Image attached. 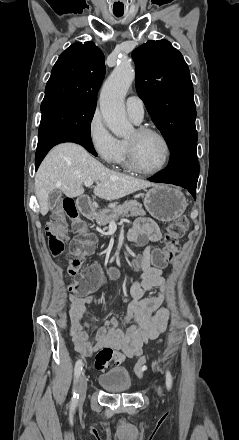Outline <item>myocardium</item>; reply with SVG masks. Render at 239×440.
Masks as SVG:
<instances>
[{"mask_svg": "<svg viewBox=\"0 0 239 440\" xmlns=\"http://www.w3.org/2000/svg\"><path fill=\"white\" fill-rule=\"evenodd\" d=\"M137 133L140 135H147V134H152L155 135L157 137H159L162 142L164 143L165 146V150H166V157H165V161L163 163V165L156 169V170H146L144 169L138 162V158L136 155V151L134 149V147L132 146L131 143H129L128 141H126V146H127V154H128V160H129V164L130 167L143 175H148V176H153V175H158L160 173H162L163 171H165L167 169V167L170 164L171 161V157H172V147H171V143L169 141V139L167 138V136L161 132L160 130L153 128V127H149V126H140L136 129Z\"/></svg>", "mask_w": 239, "mask_h": 440, "instance_id": "myocardium-1", "label": "myocardium"}]
</instances>
